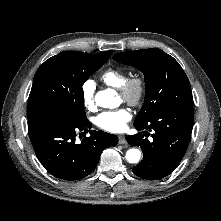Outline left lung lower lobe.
I'll use <instances>...</instances> for the list:
<instances>
[{
	"instance_id": "1",
	"label": "left lung lower lobe",
	"mask_w": 221,
	"mask_h": 221,
	"mask_svg": "<svg viewBox=\"0 0 221 221\" xmlns=\"http://www.w3.org/2000/svg\"><path fill=\"white\" fill-rule=\"evenodd\" d=\"M194 123L193 108L162 110L143 125L135 128L145 130L126 136L130 145L140 146L143 160L132 171L138 177L157 180L168 176L181 162L190 142ZM152 132V141L145 136Z\"/></svg>"
}]
</instances>
